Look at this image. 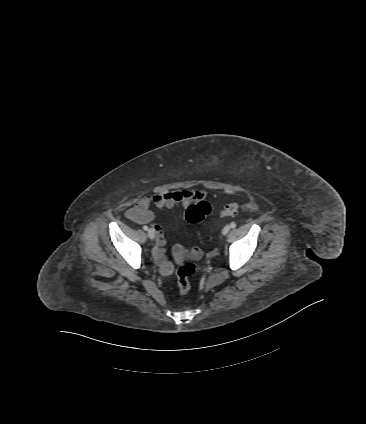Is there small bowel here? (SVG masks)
Returning a JSON list of instances; mask_svg holds the SVG:
<instances>
[{
	"mask_svg": "<svg viewBox=\"0 0 366 424\" xmlns=\"http://www.w3.org/2000/svg\"><path fill=\"white\" fill-rule=\"evenodd\" d=\"M206 197L203 190L185 189L181 191H164L154 196H141L134 206L127 210L126 217L139 224L150 223L154 219V213L149 209L153 203L158 209L173 208L176 205L188 207L191 204L202 201ZM156 233V247L154 249V257L164 273L171 270L170 263L165 259L166 238L161 227L157 224L153 225ZM176 254L183 253L180 245L174 247Z\"/></svg>",
	"mask_w": 366,
	"mask_h": 424,
	"instance_id": "1",
	"label": "small bowel"
}]
</instances>
